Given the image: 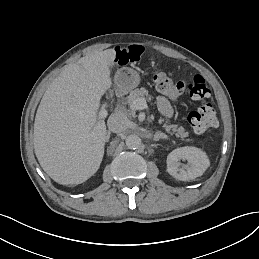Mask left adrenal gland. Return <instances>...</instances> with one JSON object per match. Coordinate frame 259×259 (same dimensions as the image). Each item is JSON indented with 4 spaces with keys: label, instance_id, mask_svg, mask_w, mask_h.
I'll use <instances>...</instances> for the list:
<instances>
[{
    "label": "left adrenal gland",
    "instance_id": "obj_1",
    "mask_svg": "<svg viewBox=\"0 0 259 259\" xmlns=\"http://www.w3.org/2000/svg\"><path fill=\"white\" fill-rule=\"evenodd\" d=\"M160 139L168 140V137H167L166 135H164V134H161V133L157 132V133L154 135V137L152 138V140H153L154 142H158Z\"/></svg>",
    "mask_w": 259,
    "mask_h": 259
}]
</instances>
